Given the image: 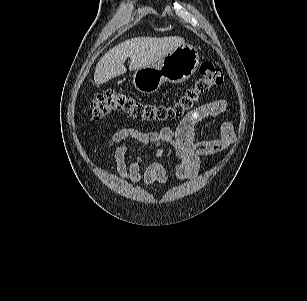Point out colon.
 <instances>
[{"instance_id":"1","label":"colon","mask_w":307,"mask_h":301,"mask_svg":"<svg viewBox=\"0 0 307 301\" xmlns=\"http://www.w3.org/2000/svg\"><path fill=\"white\" fill-rule=\"evenodd\" d=\"M200 77L172 106L143 103L119 90L97 95L91 102V117L104 118L114 112H124L143 121H164L183 116L193 110L196 103L223 82V71L210 62L201 64Z\"/></svg>"}]
</instances>
